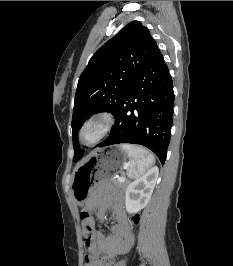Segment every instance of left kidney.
Returning a JSON list of instances; mask_svg holds the SVG:
<instances>
[{
  "label": "left kidney",
  "mask_w": 233,
  "mask_h": 266,
  "mask_svg": "<svg viewBox=\"0 0 233 266\" xmlns=\"http://www.w3.org/2000/svg\"><path fill=\"white\" fill-rule=\"evenodd\" d=\"M159 170L151 168L142 177L129 183L125 193V206L128 213H138L149 202L153 193Z\"/></svg>",
  "instance_id": "5707ae66"
}]
</instances>
